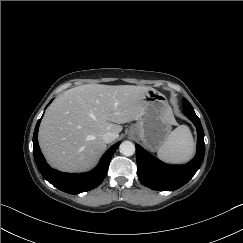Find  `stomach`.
<instances>
[{
  "label": "stomach",
  "instance_id": "1",
  "mask_svg": "<svg viewBox=\"0 0 243 243\" xmlns=\"http://www.w3.org/2000/svg\"><path fill=\"white\" fill-rule=\"evenodd\" d=\"M143 111L129 134L137 136L150 150H157L171 133L173 116L162 93L150 88L144 95Z\"/></svg>",
  "mask_w": 243,
  "mask_h": 243
}]
</instances>
